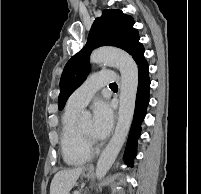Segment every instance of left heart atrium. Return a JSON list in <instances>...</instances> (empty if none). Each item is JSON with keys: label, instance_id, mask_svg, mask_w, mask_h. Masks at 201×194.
Segmentation results:
<instances>
[{"label": "left heart atrium", "instance_id": "1", "mask_svg": "<svg viewBox=\"0 0 201 194\" xmlns=\"http://www.w3.org/2000/svg\"><path fill=\"white\" fill-rule=\"evenodd\" d=\"M113 124V111L109 104L98 101L93 107L92 136L96 139L105 138Z\"/></svg>", "mask_w": 201, "mask_h": 194}]
</instances>
